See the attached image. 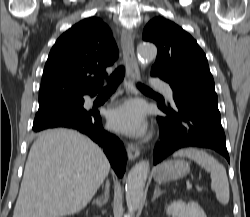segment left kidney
<instances>
[{
  "label": "left kidney",
  "mask_w": 250,
  "mask_h": 217,
  "mask_svg": "<svg viewBox=\"0 0 250 217\" xmlns=\"http://www.w3.org/2000/svg\"><path fill=\"white\" fill-rule=\"evenodd\" d=\"M166 213L172 217H206L205 212L196 202L174 201L166 207Z\"/></svg>",
  "instance_id": "1"
}]
</instances>
